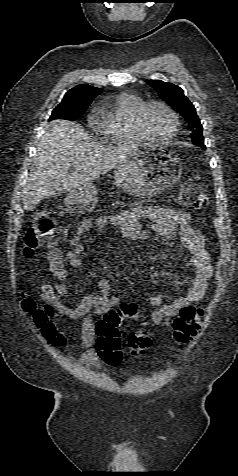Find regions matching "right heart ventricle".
Instances as JSON below:
<instances>
[{
  "label": "right heart ventricle",
  "instance_id": "e07e8e85",
  "mask_svg": "<svg viewBox=\"0 0 238 476\" xmlns=\"http://www.w3.org/2000/svg\"><path fill=\"white\" fill-rule=\"evenodd\" d=\"M145 101L131 92L113 96L100 108L97 131L102 138L117 145H142L146 141L136 128V114Z\"/></svg>",
  "mask_w": 238,
  "mask_h": 476
}]
</instances>
